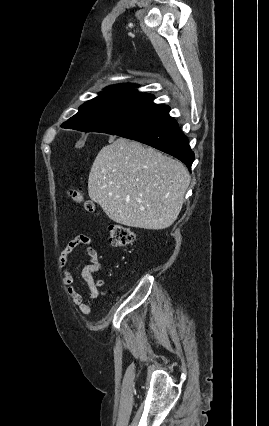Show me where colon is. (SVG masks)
Returning a JSON list of instances; mask_svg holds the SVG:
<instances>
[{
  "label": "colon",
  "instance_id": "obj_1",
  "mask_svg": "<svg viewBox=\"0 0 269 426\" xmlns=\"http://www.w3.org/2000/svg\"><path fill=\"white\" fill-rule=\"evenodd\" d=\"M69 194L74 201L82 204L86 211L91 213L96 211L94 203L86 199L79 189L73 188L69 191ZM107 237L111 245L125 247L133 243L135 234L130 228L110 224L107 227Z\"/></svg>",
  "mask_w": 269,
  "mask_h": 426
}]
</instances>
